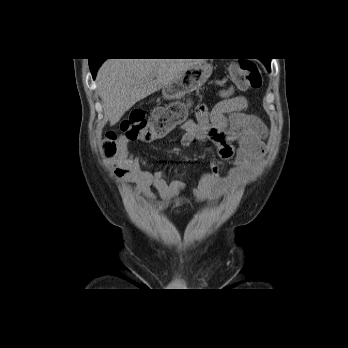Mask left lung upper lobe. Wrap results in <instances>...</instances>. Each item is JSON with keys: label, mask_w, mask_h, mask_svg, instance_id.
Instances as JSON below:
<instances>
[{"label": "left lung upper lobe", "mask_w": 348, "mask_h": 348, "mask_svg": "<svg viewBox=\"0 0 348 348\" xmlns=\"http://www.w3.org/2000/svg\"><path fill=\"white\" fill-rule=\"evenodd\" d=\"M263 63L266 65V67H267L268 69H270V64H271L270 59L264 60Z\"/></svg>", "instance_id": "obj_1"}]
</instances>
